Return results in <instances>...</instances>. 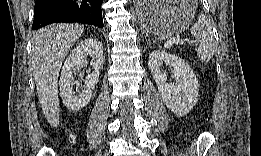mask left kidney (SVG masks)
I'll list each match as a JSON object with an SVG mask.
<instances>
[{
	"label": "left kidney",
	"instance_id": "obj_1",
	"mask_svg": "<svg viewBox=\"0 0 261 156\" xmlns=\"http://www.w3.org/2000/svg\"><path fill=\"white\" fill-rule=\"evenodd\" d=\"M163 64L172 68L175 84L167 82ZM148 67L167 108L178 116L189 113L198 101L199 84L188 63L174 54L154 51L149 55Z\"/></svg>",
	"mask_w": 261,
	"mask_h": 156
}]
</instances>
